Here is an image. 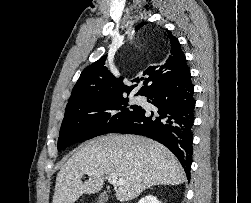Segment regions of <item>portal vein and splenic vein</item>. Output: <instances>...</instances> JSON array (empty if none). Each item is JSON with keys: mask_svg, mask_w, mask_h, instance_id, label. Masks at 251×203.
I'll use <instances>...</instances> for the list:
<instances>
[{"mask_svg": "<svg viewBox=\"0 0 251 203\" xmlns=\"http://www.w3.org/2000/svg\"><path fill=\"white\" fill-rule=\"evenodd\" d=\"M88 175L90 176L91 174H88ZM108 181L109 183L113 185H117V186L123 185L125 183L123 179H118V176L114 173H111L109 175Z\"/></svg>", "mask_w": 251, "mask_h": 203, "instance_id": "portal-vein-and-splenic-vein-1", "label": "portal vein and splenic vein"}]
</instances>
